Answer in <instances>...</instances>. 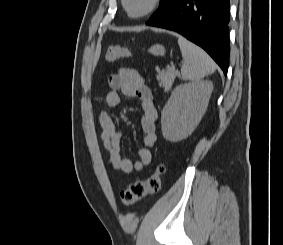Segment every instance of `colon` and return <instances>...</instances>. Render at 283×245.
Instances as JSON below:
<instances>
[{
    "instance_id": "1",
    "label": "colon",
    "mask_w": 283,
    "mask_h": 245,
    "mask_svg": "<svg viewBox=\"0 0 283 245\" xmlns=\"http://www.w3.org/2000/svg\"><path fill=\"white\" fill-rule=\"evenodd\" d=\"M130 53L119 46H110L105 53V61L113 62L118 59L129 58ZM165 172V165L158 163L153 173L143 181L132 183L126 190L121 192V201L124 207L134 205L144 197L155 194L161 189V177Z\"/></svg>"
}]
</instances>
